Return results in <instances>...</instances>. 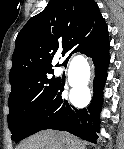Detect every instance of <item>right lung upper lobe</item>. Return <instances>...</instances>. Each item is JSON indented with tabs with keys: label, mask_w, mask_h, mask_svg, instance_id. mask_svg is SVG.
<instances>
[{
	"label": "right lung upper lobe",
	"mask_w": 124,
	"mask_h": 149,
	"mask_svg": "<svg viewBox=\"0 0 124 149\" xmlns=\"http://www.w3.org/2000/svg\"><path fill=\"white\" fill-rule=\"evenodd\" d=\"M108 38L107 26L93 0H50L29 19L15 40L9 81L12 89L52 69L53 58L86 53ZM58 64H56L57 66Z\"/></svg>",
	"instance_id": "cb5924a9"
}]
</instances>
